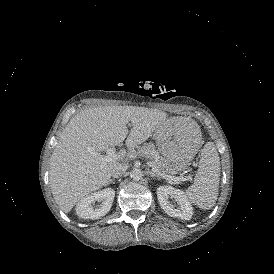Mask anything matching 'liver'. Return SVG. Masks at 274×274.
Returning <instances> with one entry per match:
<instances>
[{"instance_id":"6515ba94","label":"liver","mask_w":274,"mask_h":274,"mask_svg":"<svg viewBox=\"0 0 274 274\" xmlns=\"http://www.w3.org/2000/svg\"><path fill=\"white\" fill-rule=\"evenodd\" d=\"M167 119L162 110L136 106H100L80 111L62 131L51 156L49 182L56 203L65 213L70 212L90 192L109 184L114 167L125 156L135 154V148L154 131H165L172 123L193 121L184 117ZM125 139L128 153L122 150L115 153L112 161L102 160L101 152Z\"/></svg>"}]
</instances>
